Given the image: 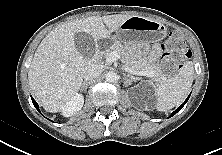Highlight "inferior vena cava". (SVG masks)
<instances>
[{
  "label": "inferior vena cava",
  "mask_w": 222,
  "mask_h": 155,
  "mask_svg": "<svg viewBox=\"0 0 222 155\" xmlns=\"http://www.w3.org/2000/svg\"><path fill=\"white\" fill-rule=\"evenodd\" d=\"M103 71V67L99 64H91L87 66L83 71V78L85 80H92L93 78L98 77Z\"/></svg>",
  "instance_id": "obj_1"
}]
</instances>
